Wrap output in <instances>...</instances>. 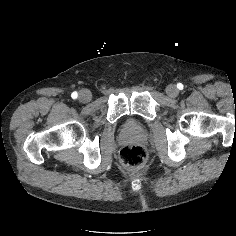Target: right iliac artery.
<instances>
[{
    "label": "right iliac artery",
    "instance_id": "obj_1",
    "mask_svg": "<svg viewBox=\"0 0 236 236\" xmlns=\"http://www.w3.org/2000/svg\"><path fill=\"white\" fill-rule=\"evenodd\" d=\"M71 97H72L73 99H76V98L78 97V93H77V92H73V93L71 94Z\"/></svg>",
    "mask_w": 236,
    "mask_h": 236
}]
</instances>
